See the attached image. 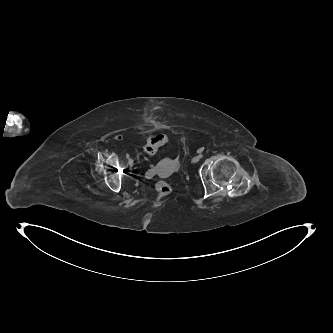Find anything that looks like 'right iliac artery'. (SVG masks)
<instances>
[{
	"label": "right iliac artery",
	"mask_w": 333,
	"mask_h": 333,
	"mask_svg": "<svg viewBox=\"0 0 333 333\" xmlns=\"http://www.w3.org/2000/svg\"><path fill=\"white\" fill-rule=\"evenodd\" d=\"M126 157L129 158V154L128 153L126 154Z\"/></svg>",
	"instance_id": "obj_1"
}]
</instances>
